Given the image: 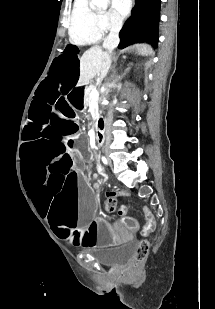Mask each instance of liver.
<instances>
[{
	"instance_id": "1",
	"label": "liver",
	"mask_w": 215,
	"mask_h": 309,
	"mask_svg": "<svg viewBox=\"0 0 215 309\" xmlns=\"http://www.w3.org/2000/svg\"><path fill=\"white\" fill-rule=\"evenodd\" d=\"M137 50H139V54H153V50L149 44H137ZM111 62L109 52L102 50L98 44H94V46L85 50L80 58V76L76 86L89 84L90 80L95 78V76L104 78L110 68Z\"/></svg>"
}]
</instances>
